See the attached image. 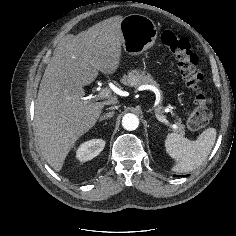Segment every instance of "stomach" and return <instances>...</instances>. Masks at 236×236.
<instances>
[{"label":"stomach","instance_id":"obj_1","mask_svg":"<svg viewBox=\"0 0 236 236\" xmlns=\"http://www.w3.org/2000/svg\"><path fill=\"white\" fill-rule=\"evenodd\" d=\"M124 50L132 56L139 55L151 48L157 38L156 24L147 16L130 14L121 21Z\"/></svg>","mask_w":236,"mask_h":236}]
</instances>
